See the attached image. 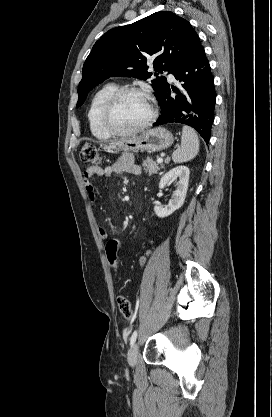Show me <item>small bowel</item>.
I'll return each mask as SVG.
<instances>
[{
  "label": "small bowel",
  "instance_id": "small-bowel-1",
  "mask_svg": "<svg viewBox=\"0 0 272 417\" xmlns=\"http://www.w3.org/2000/svg\"><path fill=\"white\" fill-rule=\"evenodd\" d=\"M142 169L139 164H137L134 158L127 154L121 157H118L111 165L109 166H91L86 168L83 172L85 185L87 192L89 193L90 200L95 201L94 186L91 179L94 176L99 177H111L114 174L123 175H139ZM99 235L102 240L108 239V233L104 228H99Z\"/></svg>",
  "mask_w": 272,
  "mask_h": 417
}]
</instances>
